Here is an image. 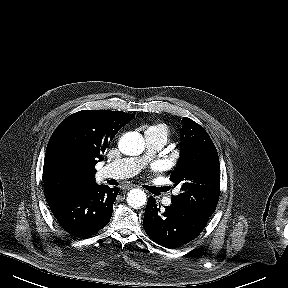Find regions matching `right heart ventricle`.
<instances>
[{"instance_id":"1","label":"right heart ventricle","mask_w":288,"mask_h":288,"mask_svg":"<svg viewBox=\"0 0 288 288\" xmlns=\"http://www.w3.org/2000/svg\"><path fill=\"white\" fill-rule=\"evenodd\" d=\"M149 129H156L158 131H161L164 134V136L166 137V139H168V137L170 135V130H169L168 126L165 124H157L155 126L150 127Z\"/></svg>"}]
</instances>
